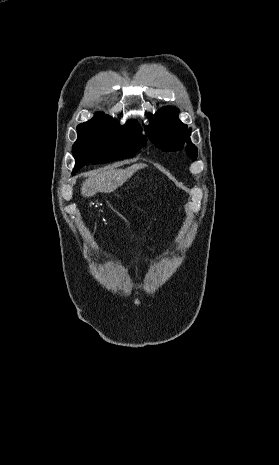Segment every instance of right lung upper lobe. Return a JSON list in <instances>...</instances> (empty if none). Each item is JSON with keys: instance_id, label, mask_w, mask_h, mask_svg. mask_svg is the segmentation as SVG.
Here are the masks:
<instances>
[{"instance_id": "1", "label": "right lung upper lobe", "mask_w": 279, "mask_h": 465, "mask_svg": "<svg viewBox=\"0 0 279 465\" xmlns=\"http://www.w3.org/2000/svg\"><path fill=\"white\" fill-rule=\"evenodd\" d=\"M97 125H116V126H120L118 124V122L115 121L111 116L104 115L103 113L98 112L96 114V116L94 118H92L91 120H89L88 122L79 124L78 127H77V130H83V129H87V128L97 126ZM123 126H133V127L139 128L141 130L140 125L135 120L128 121Z\"/></svg>"}]
</instances>
